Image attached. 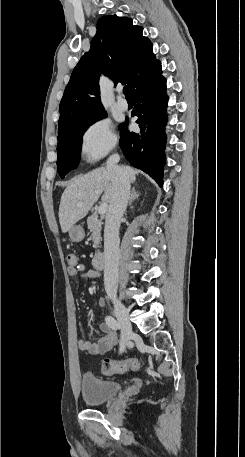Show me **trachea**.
<instances>
[{"label": "trachea", "instance_id": "trachea-1", "mask_svg": "<svg viewBox=\"0 0 245 457\" xmlns=\"http://www.w3.org/2000/svg\"><path fill=\"white\" fill-rule=\"evenodd\" d=\"M123 93H124L125 97H130L129 88H128L127 85H125V86L123 87Z\"/></svg>", "mask_w": 245, "mask_h": 457}]
</instances>
